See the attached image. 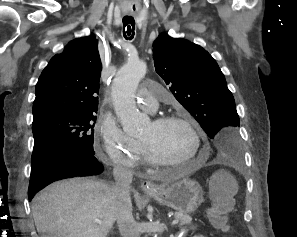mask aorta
Masks as SVG:
<instances>
[{
  "mask_svg": "<svg viewBox=\"0 0 297 237\" xmlns=\"http://www.w3.org/2000/svg\"><path fill=\"white\" fill-rule=\"evenodd\" d=\"M146 63L141 60L128 61L116 74L112 85V100L123 130L130 136L141 133L148 118L139 112L135 103V91L145 76Z\"/></svg>",
  "mask_w": 297,
  "mask_h": 237,
  "instance_id": "aorta-1",
  "label": "aorta"
}]
</instances>
